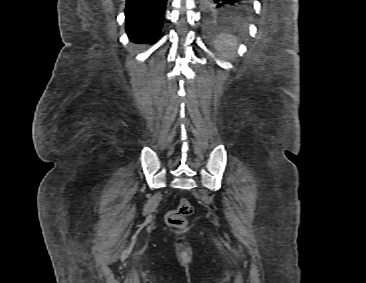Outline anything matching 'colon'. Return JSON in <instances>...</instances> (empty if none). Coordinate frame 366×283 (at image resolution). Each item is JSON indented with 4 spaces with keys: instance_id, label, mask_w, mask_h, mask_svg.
I'll return each mask as SVG.
<instances>
[{
    "instance_id": "5ec220e1",
    "label": "colon",
    "mask_w": 366,
    "mask_h": 283,
    "mask_svg": "<svg viewBox=\"0 0 366 283\" xmlns=\"http://www.w3.org/2000/svg\"><path fill=\"white\" fill-rule=\"evenodd\" d=\"M193 213V206L186 198H181L177 206L166 215L168 225L183 229L187 226V217Z\"/></svg>"
}]
</instances>
